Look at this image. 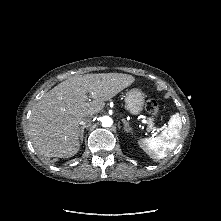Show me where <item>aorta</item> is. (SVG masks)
<instances>
[{"label": "aorta", "instance_id": "762f6f07", "mask_svg": "<svg viewBox=\"0 0 221 221\" xmlns=\"http://www.w3.org/2000/svg\"><path fill=\"white\" fill-rule=\"evenodd\" d=\"M101 123L103 127H111L113 125V120L109 116H103L101 118Z\"/></svg>", "mask_w": 221, "mask_h": 221}]
</instances>
